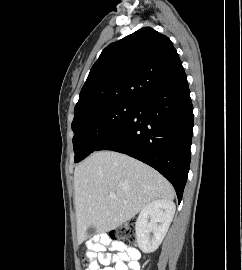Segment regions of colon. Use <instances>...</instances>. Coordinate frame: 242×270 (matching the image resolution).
Wrapping results in <instances>:
<instances>
[{"label":"colon","mask_w":242,"mask_h":270,"mask_svg":"<svg viewBox=\"0 0 242 270\" xmlns=\"http://www.w3.org/2000/svg\"><path fill=\"white\" fill-rule=\"evenodd\" d=\"M107 237L114 241L132 243L136 240V224L134 221L125 222L119 228L110 232ZM82 263L89 268L91 261L88 257H84Z\"/></svg>","instance_id":"colon-1"}]
</instances>
